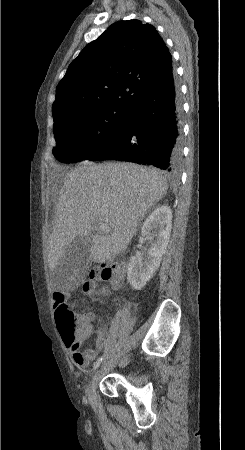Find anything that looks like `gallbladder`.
Instances as JSON below:
<instances>
[{
  "label": "gallbladder",
  "mask_w": 245,
  "mask_h": 450,
  "mask_svg": "<svg viewBox=\"0 0 245 450\" xmlns=\"http://www.w3.org/2000/svg\"><path fill=\"white\" fill-rule=\"evenodd\" d=\"M91 247V237H76L61 257L55 269V274L60 276L69 275V279L74 274L83 278L92 261Z\"/></svg>",
  "instance_id": "obj_1"
}]
</instances>
